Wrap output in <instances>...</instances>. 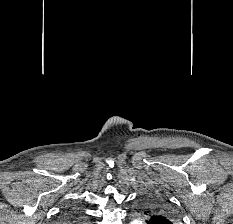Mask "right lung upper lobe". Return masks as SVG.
Listing matches in <instances>:
<instances>
[{
	"instance_id": "cb5924a9",
	"label": "right lung upper lobe",
	"mask_w": 233,
	"mask_h": 224,
	"mask_svg": "<svg viewBox=\"0 0 233 224\" xmlns=\"http://www.w3.org/2000/svg\"><path fill=\"white\" fill-rule=\"evenodd\" d=\"M85 220L82 218V216L75 212H67L63 215L61 218V223L64 224H82Z\"/></svg>"
}]
</instances>
